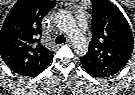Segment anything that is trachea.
Masks as SVG:
<instances>
[{
  "label": "trachea",
  "mask_w": 135,
  "mask_h": 95,
  "mask_svg": "<svg viewBox=\"0 0 135 95\" xmlns=\"http://www.w3.org/2000/svg\"><path fill=\"white\" fill-rule=\"evenodd\" d=\"M65 42V38L62 35L57 36L56 38V43H64Z\"/></svg>",
  "instance_id": "3493384b"
}]
</instances>
